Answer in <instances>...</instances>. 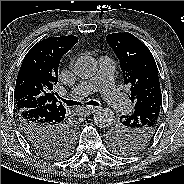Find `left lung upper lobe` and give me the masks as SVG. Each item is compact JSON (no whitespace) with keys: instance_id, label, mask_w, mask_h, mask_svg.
<instances>
[{"instance_id":"5c2ea615","label":"left lung upper lobe","mask_w":184,"mask_h":184,"mask_svg":"<svg viewBox=\"0 0 184 184\" xmlns=\"http://www.w3.org/2000/svg\"><path fill=\"white\" fill-rule=\"evenodd\" d=\"M106 41L120 60L124 84L131 86L129 98L135 109L131 115H122L107 136L116 153L130 155L146 147L157 129L160 110L145 115L143 119L136 118L135 113L145 102L162 99L158 68L147 46L134 35L113 33L107 35Z\"/></svg>"}]
</instances>
